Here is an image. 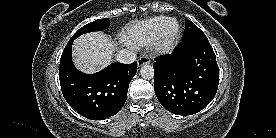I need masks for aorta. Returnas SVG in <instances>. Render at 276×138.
Returning a JSON list of instances; mask_svg holds the SVG:
<instances>
[{
	"instance_id": "762f6f07",
	"label": "aorta",
	"mask_w": 276,
	"mask_h": 138,
	"mask_svg": "<svg viewBox=\"0 0 276 138\" xmlns=\"http://www.w3.org/2000/svg\"><path fill=\"white\" fill-rule=\"evenodd\" d=\"M140 74L144 79H152L154 77V69L149 64H144L140 69Z\"/></svg>"
}]
</instances>
